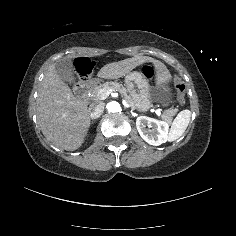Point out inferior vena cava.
<instances>
[{
	"mask_svg": "<svg viewBox=\"0 0 236 236\" xmlns=\"http://www.w3.org/2000/svg\"><path fill=\"white\" fill-rule=\"evenodd\" d=\"M104 110V105L102 103L96 104L95 106L92 107L90 110V118L91 119H96L101 116Z\"/></svg>",
	"mask_w": 236,
	"mask_h": 236,
	"instance_id": "602c4592",
	"label": "inferior vena cava"
}]
</instances>
